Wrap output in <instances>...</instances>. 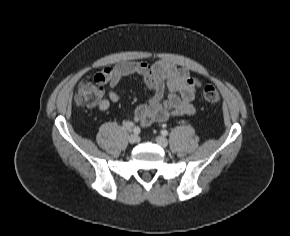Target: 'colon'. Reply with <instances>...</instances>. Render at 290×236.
I'll return each mask as SVG.
<instances>
[{
  "label": "colon",
  "instance_id": "colon-1",
  "mask_svg": "<svg viewBox=\"0 0 290 236\" xmlns=\"http://www.w3.org/2000/svg\"><path fill=\"white\" fill-rule=\"evenodd\" d=\"M102 84L103 81L96 76L83 79L75 91L77 105L94 107L101 96ZM201 93L203 99L208 103H216L220 100V93L215 86H204Z\"/></svg>",
  "mask_w": 290,
  "mask_h": 236
}]
</instances>
